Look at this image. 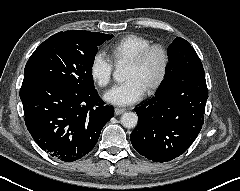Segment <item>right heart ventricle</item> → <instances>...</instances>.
<instances>
[{"label": "right heart ventricle", "mask_w": 240, "mask_h": 191, "mask_svg": "<svg viewBox=\"0 0 240 191\" xmlns=\"http://www.w3.org/2000/svg\"><path fill=\"white\" fill-rule=\"evenodd\" d=\"M151 45V41L140 35H126L109 47L112 59L116 62L129 61L144 48Z\"/></svg>", "instance_id": "right-heart-ventricle-1"}]
</instances>
